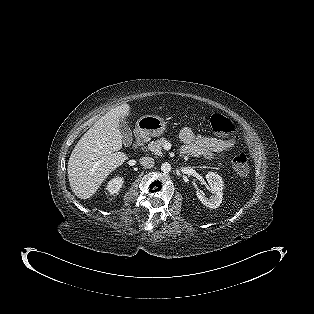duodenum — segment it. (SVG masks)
Returning a JSON list of instances; mask_svg holds the SVG:
<instances>
[{
  "instance_id": "410a0bca",
  "label": "duodenum",
  "mask_w": 314,
  "mask_h": 314,
  "mask_svg": "<svg viewBox=\"0 0 314 314\" xmlns=\"http://www.w3.org/2000/svg\"><path fill=\"white\" fill-rule=\"evenodd\" d=\"M145 138H146L145 134H143L142 132H138L136 134L135 146L136 147L142 146L145 142Z\"/></svg>"
}]
</instances>
